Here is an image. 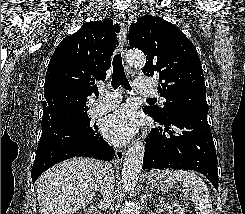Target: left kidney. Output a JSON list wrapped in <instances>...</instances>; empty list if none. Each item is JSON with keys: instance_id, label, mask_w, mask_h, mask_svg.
<instances>
[{"instance_id": "5707ae66", "label": "left kidney", "mask_w": 245, "mask_h": 214, "mask_svg": "<svg viewBox=\"0 0 245 214\" xmlns=\"http://www.w3.org/2000/svg\"><path fill=\"white\" fill-rule=\"evenodd\" d=\"M160 206H161V209H167V210H171V209H173V208H175V210H174V214H184V211H183V209L177 204V203H171V204H169V203H161L160 204Z\"/></svg>"}]
</instances>
